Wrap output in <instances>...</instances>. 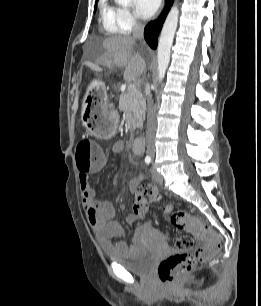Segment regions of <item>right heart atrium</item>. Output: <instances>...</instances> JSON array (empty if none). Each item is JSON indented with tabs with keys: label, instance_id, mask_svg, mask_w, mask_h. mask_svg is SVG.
<instances>
[{
	"label": "right heart atrium",
	"instance_id": "1",
	"mask_svg": "<svg viewBox=\"0 0 261 306\" xmlns=\"http://www.w3.org/2000/svg\"><path fill=\"white\" fill-rule=\"evenodd\" d=\"M118 20L124 31H131L139 25L137 16L127 7H120Z\"/></svg>",
	"mask_w": 261,
	"mask_h": 306
}]
</instances>
